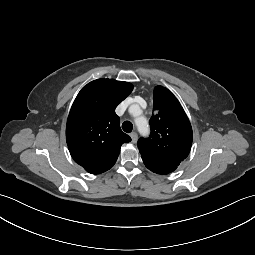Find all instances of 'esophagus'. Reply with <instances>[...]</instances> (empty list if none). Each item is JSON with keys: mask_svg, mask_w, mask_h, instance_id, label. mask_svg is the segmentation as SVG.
Segmentation results:
<instances>
[{"mask_svg": "<svg viewBox=\"0 0 255 255\" xmlns=\"http://www.w3.org/2000/svg\"><path fill=\"white\" fill-rule=\"evenodd\" d=\"M130 137H131L133 143H136V142H137L138 135H137L136 132H132V133L130 134Z\"/></svg>", "mask_w": 255, "mask_h": 255, "instance_id": "esophagus-1", "label": "esophagus"}]
</instances>
